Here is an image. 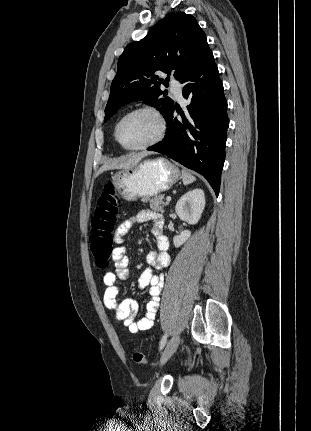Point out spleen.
Listing matches in <instances>:
<instances>
[{"instance_id":"obj_1","label":"spleen","mask_w":311,"mask_h":431,"mask_svg":"<svg viewBox=\"0 0 311 431\" xmlns=\"http://www.w3.org/2000/svg\"><path fill=\"white\" fill-rule=\"evenodd\" d=\"M195 180H196L195 176H192V174H188L186 170H182V182L184 186H188V184H193Z\"/></svg>"}]
</instances>
